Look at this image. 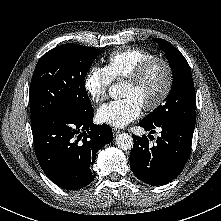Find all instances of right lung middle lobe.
Segmentation results:
<instances>
[{
	"label": "right lung middle lobe",
	"mask_w": 221,
	"mask_h": 221,
	"mask_svg": "<svg viewBox=\"0 0 221 221\" xmlns=\"http://www.w3.org/2000/svg\"><path fill=\"white\" fill-rule=\"evenodd\" d=\"M100 52L67 43L39 59L29 90L31 126L54 114L76 117L93 111L84 80Z\"/></svg>",
	"instance_id": "obj_1"
}]
</instances>
